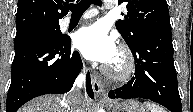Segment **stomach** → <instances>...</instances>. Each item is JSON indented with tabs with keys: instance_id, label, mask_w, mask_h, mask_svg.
Here are the masks:
<instances>
[{
	"instance_id": "stomach-1",
	"label": "stomach",
	"mask_w": 193,
	"mask_h": 112,
	"mask_svg": "<svg viewBox=\"0 0 193 112\" xmlns=\"http://www.w3.org/2000/svg\"><path fill=\"white\" fill-rule=\"evenodd\" d=\"M113 112H146V109L134 100H127L114 104Z\"/></svg>"
}]
</instances>
